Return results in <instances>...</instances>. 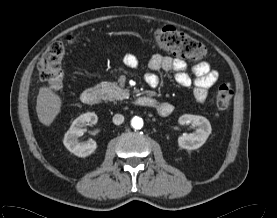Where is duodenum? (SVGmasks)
Here are the masks:
<instances>
[{
    "mask_svg": "<svg viewBox=\"0 0 277 218\" xmlns=\"http://www.w3.org/2000/svg\"><path fill=\"white\" fill-rule=\"evenodd\" d=\"M81 101L86 105H96L100 101V93L96 88H87L81 93ZM135 103L142 107L163 109V116H167L171 113V106L158 102L152 97L149 96H139L135 99Z\"/></svg>",
    "mask_w": 277,
    "mask_h": 218,
    "instance_id": "410a0bca",
    "label": "duodenum"
}]
</instances>
